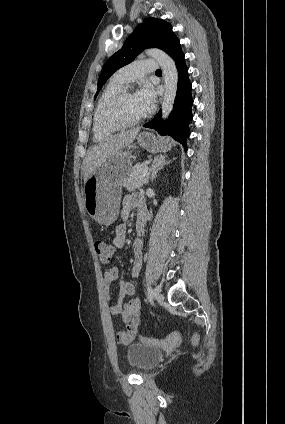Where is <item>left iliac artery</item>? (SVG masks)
I'll list each match as a JSON object with an SVG mask.
<instances>
[{"instance_id":"obj_1","label":"left iliac artery","mask_w":285,"mask_h":424,"mask_svg":"<svg viewBox=\"0 0 285 424\" xmlns=\"http://www.w3.org/2000/svg\"><path fill=\"white\" fill-rule=\"evenodd\" d=\"M148 299L151 303L153 302V290L150 286H148Z\"/></svg>"}]
</instances>
